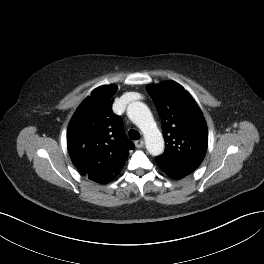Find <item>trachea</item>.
Instances as JSON below:
<instances>
[{
  "label": "trachea",
  "mask_w": 264,
  "mask_h": 264,
  "mask_svg": "<svg viewBox=\"0 0 264 264\" xmlns=\"http://www.w3.org/2000/svg\"><path fill=\"white\" fill-rule=\"evenodd\" d=\"M128 134H129V138L131 140H138V139H140L139 132L136 131V130H134V129L129 130Z\"/></svg>",
  "instance_id": "1"
}]
</instances>
